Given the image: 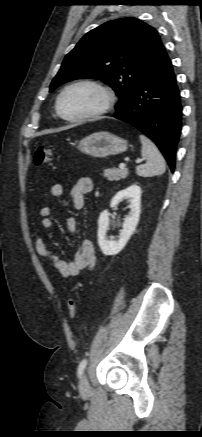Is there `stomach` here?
<instances>
[{
    "instance_id": "obj_1",
    "label": "stomach",
    "mask_w": 202,
    "mask_h": 437,
    "mask_svg": "<svg viewBox=\"0 0 202 437\" xmlns=\"http://www.w3.org/2000/svg\"><path fill=\"white\" fill-rule=\"evenodd\" d=\"M77 149L92 157L105 158L126 152L128 142L109 132H96L83 138Z\"/></svg>"
}]
</instances>
